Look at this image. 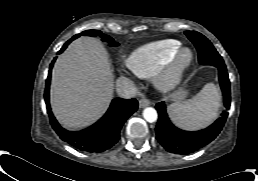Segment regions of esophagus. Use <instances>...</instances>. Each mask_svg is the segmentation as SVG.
Instances as JSON below:
<instances>
[{
    "instance_id": "esophagus-1",
    "label": "esophagus",
    "mask_w": 258,
    "mask_h": 181,
    "mask_svg": "<svg viewBox=\"0 0 258 181\" xmlns=\"http://www.w3.org/2000/svg\"><path fill=\"white\" fill-rule=\"evenodd\" d=\"M149 105H150V101L148 99H146V98L140 99V101H139L140 108H144V107H147Z\"/></svg>"
}]
</instances>
